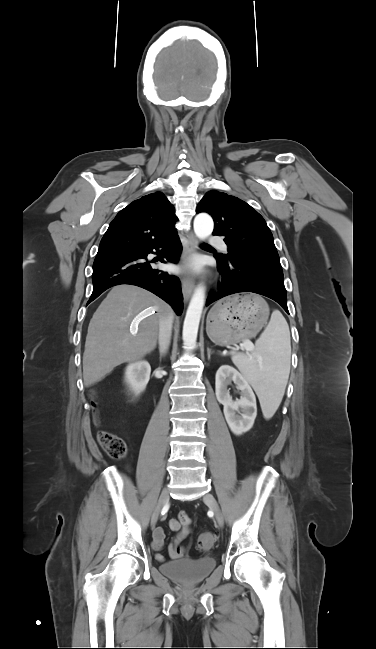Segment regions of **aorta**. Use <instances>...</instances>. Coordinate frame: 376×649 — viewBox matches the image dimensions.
Listing matches in <instances>:
<instances>
[{
	"label": "aorta",
	"mask_w": 376,
	"mask_h": 649,
	"mask_svg": "<svg viewBox=\"0 0 376 649\" xmlns=\"http://www.w3.org/2000/svg\"><path fill=\"white\" fill-rule=\"evenodd\" d=\"M214 228V222L210 215L199 213L194 219V232L200 239H206L211 235ZM205 304V288L199 285L191 298L187 308L182 338L186 347H193L196 344L199 323Z\"/></svg>",
	"instance_id": "obj_1"
}]
</instances>
